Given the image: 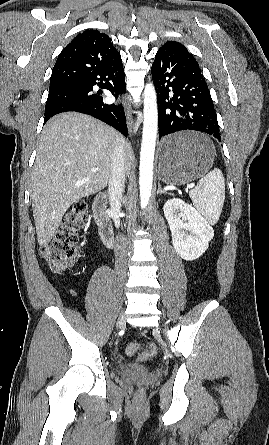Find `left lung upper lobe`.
<instances>
[{
  "instance_id": "obj_1",
  "label": "left lung upper lobe",
  "mask_w": 269,
  "mask_h": 445,
  "mask_svg": "<svg viewBox=\"0 0 269 445\" xmlns=\"http://www.w3.org/2000/svg\"><path fill=\"white\" fill-rule=\"evenodd\" d=\"M173 48H184L186 49L181 43L175 42V41H169L166 42L159 50H168Z\"/></svg>"
}]
</instances>
